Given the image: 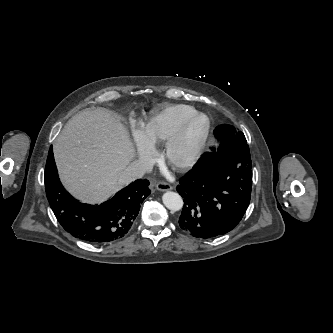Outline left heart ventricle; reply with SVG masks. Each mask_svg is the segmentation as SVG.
Masks as SVG:
<instances>
[{
	"instance_id": "b2bd125f",
	"label": "left heart ventricle",
	"mask_w": 333,
	"mask_h": 333,
	"mask_svg": "<svg viewBox=\"0 0 333 333\" xmlns=\"http://www.w3.org/2000/svg\"><path fill=\"white\" fill-rule=\"evenodd\" d=\"M203 126V121L201 119L195 120L189 128L188 131V143H193L199 136Z\"/></svg>"
}]
</instances>
